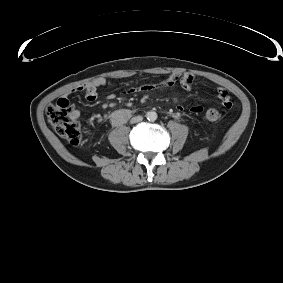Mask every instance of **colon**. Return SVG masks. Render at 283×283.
Returning <instances> with one entry per match:
<instances>
[{
	"mask_svg": "<svg viewBox=\"0 0 283 283\" xmlns=\"http://www.w3.org/2000/svg\"><path fill=\"white\" fill-rule=\"evenodd\" d=\"M74 106L69 99L59 98L56 104L47 110V118L56 133L69 144L79 145L82 138L81 126L74 117ZM204 118L211 123L222 120L223 113L216 108H209L205 111Z\"/></svg>",
	"mask_w": 283,
	"mask_h": 283,
	"instance_id": "colon-1",
	"label": "colon"
}]
</instances>
